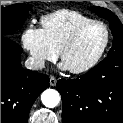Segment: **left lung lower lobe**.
Returning a JSON list of instances; mask_svg holds the SVG:
<instances>
[{
	"instance_id": "left-lung-lower-lobe-1",
	"label": "left lung lower lobe",
	"mask_w": 123,
	"mask_h": 123,
	"mask_svg": "<svg viewBox=\"0 0 123 123\" xmlns=\"http://www.w3.org/2000/svg\"><path fill=\"white\" fill-rule=\"evenodd\" d=\"M63 123H123V52L107 56L79 79L57 82Z\"/></svg>"
}]
</instances>
